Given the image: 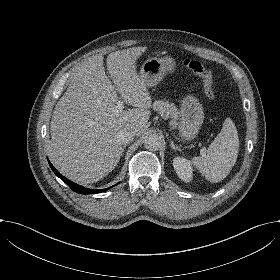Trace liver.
Segmentation results:
<instances>
[{
  "mask_svg": "<svg viewBox=\"0 0 280 280\" xmlns=\"http://www.w3.org/2000/svg\"><path fill=\"white\" fill-rule=\"evenodd\" d=\"M145 49L110 53L107 69L112 82L101 55L88 58L72 73L53 111L48 147L54 165L69 179L92 184L104 178L121 157L116 134L129 130L139 136L150 124V96L134 68ZM122 101L134 108L120 110Z\"/></svg>",
  "mask_w": 280,
  "mask_h": 280,
  "instance_id": "1",
  "label": "liver"
}]
</instances>
